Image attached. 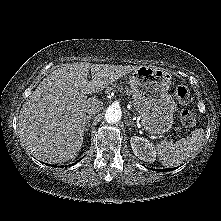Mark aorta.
Returning <instances> with one entry per match:
<instances>
[{
    "label": "aorta",
    "instance_id": "1",
    "mask_svg": "<svg viewBox=\"0 0 221 221\" xmlns=\"http://www.w3.org/2000/svg\"><path fill=\"white\" fill-rule=\"evenodd\" d=\"M122 117L121 108L118 105H110L105 113V120L108 123H116Z\"/></svg>",
    "mask_w": 221,
    "mask_h": 221
}]
</instances>
